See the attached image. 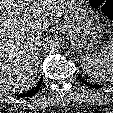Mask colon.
I'll list each match as a JSON object with an SVG mask.
<instances>
[{"label": "colon", "mask_w": 113, "mask_h": 113, "mask_svg": "<svg viewBox=\"0 0 113 113\" xmlns=\"http://www.w3.org/2000/svg\"><path fill=\"white\" fill-rule=\"evenodd\" d=\"M90 3L105 16L113 19V0H90Z\"/></svg>", "instance_id": "1"}]
</instances>
